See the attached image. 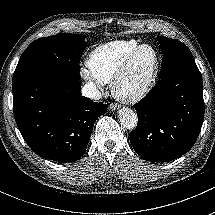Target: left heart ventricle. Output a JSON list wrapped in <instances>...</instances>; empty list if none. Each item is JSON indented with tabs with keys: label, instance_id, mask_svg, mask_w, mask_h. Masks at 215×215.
Wrapping results in <instances>:
<instances>
[{
	"label": "left heart ventricle",
	"instance_id": "1",
	"mask_svg": "<svg viewBox=\"0 0 215 215\" xmlns=\"http://www.w3.org/2000/svg\"><path fill=\"white\" fill-rule=\"evenodd\" d=\"M153 59L154 54L150 48H143L140 50L129 74L122 83V89L124 91H132L142 82L145 72L153 63Z\"/></svg>",
	"mask_w": 215,
	"mask_h": 215
}]
</instances>
